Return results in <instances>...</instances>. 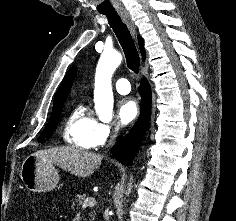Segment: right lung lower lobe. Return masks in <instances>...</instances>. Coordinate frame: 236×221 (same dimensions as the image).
I'll return each mask as SVG.
<instances>
[{"label":"right lung lower lobe","mask_w":236,"mask_h":221,"mask_svg":"<svg viewBox=\"0 0 236 221\" xmlns=\"http://www.w3.org/2000/svg\"><path fill=\"white\" fill-rule=\"evenodd\" d=\"M140 87L142 97L141 115L129 134L112 148L114 157L126 165H131L138 152L149 118L151 88L146 79L141 80Z\"/></svg>","instance_id":"obj_1"}]
</instances>
